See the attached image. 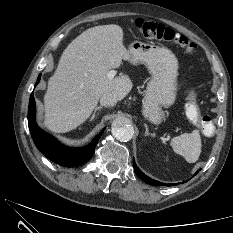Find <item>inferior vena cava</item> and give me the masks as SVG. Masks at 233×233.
Instances as JSON below:
<instances>
[{"label":"inferior vena cava","instance_id":"602c4592","mask_svg":"<svg viewBox=\"0 0 233 233\" xmlns=\"http://www.w3.org/2000/svg\"><path fill=\"white\" fill-rule=\"evenodd\" d=\"M117 101H118V99H117L116 95H114L112 93H105L100 98V104L102 106H114V105H116Z\"/></svg>","mask_w":233,"mask_h":233}]
</instances>
